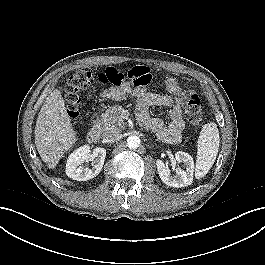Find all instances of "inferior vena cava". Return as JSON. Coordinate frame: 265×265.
Returning a JSON list of instances; mask_svg holds the SVG:
<instances>
[{
    "instance_id": "602c4592",
    "label": "inferior vena cava",
    "mask_w": 265,
    "mask_h": 265,
    "mask_svg": "<svg viewBox=\"0 0 265 265\" xmlns=\"http://www.w3.org/2000/svg\"><path fill=\"white\" fill-rule=\"evenodd\" d=\"M120 134L118 133H110L104 136V142L107 143H114L117 142L120 139Z\"/></svg>"
}]
</instances>
